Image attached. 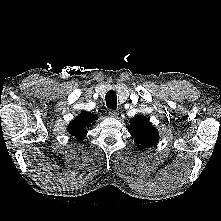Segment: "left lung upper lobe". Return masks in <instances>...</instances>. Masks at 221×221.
I'll use <instances>...</instances> for the list:
<instances>
[{
    "label": "left lung upper lobe",
    "instance_id": "obj_1",
    "mask_svg": "<svg viewBox=\"0 0 221 221\" xmlns=\"http://www.w3.org/2000/svg\"><path fill=\"white\" fill-rule=\"evenodd\" d=\"M128 130L140 149L156 145L159 141L157 129L152 126L149 119L142 115L135 116L130 120Z\"/></svg>",
    "mask_w": 221,
    "mask_h": 221
}]
</instances>
